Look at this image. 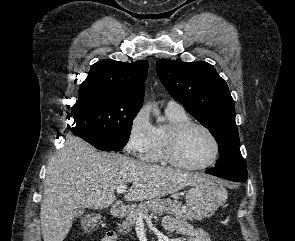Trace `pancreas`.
Instances as JSON below:
<instances>
[{
    "instance_id": "pancreas-1",
    "label": "pancreas",
    "mask_w": 295,
    "mask_h": 241,
    "mask_svg": "<svg viewBox=\"0 0 295 241\" xmlns=\"http://www.w3.org/2000/svg\"><path fill=\"white\" fill-rule=\"evenodd\" d=\"M149 212H153L158 215L163 212H167L168 214H173L176 218L182 220H193L197 218V216L181 202L172 201L170 199L149 200L147 202L140 203L138 206H131L128 209L126 219L119 225V232L126 233L137 223L139 213L147 215Z\"/></svg>"
}]
</instances>
